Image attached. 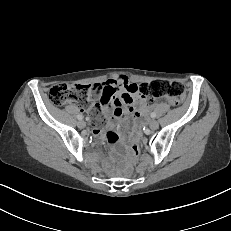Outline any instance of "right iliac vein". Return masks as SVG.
Here are the masks:
<instances>
[{
	"instance_id": "63e3f726",
	"label": "right iliac vein",
	"mask_w": 231,
	"mask_h": 231,
	"mask_svg": "<svg viewBox=\"0 0 231 231\" xmlns=\"http://www.w3.org/2000/svg\"><path fill=\"white\" fill-rule=\"evenodd\" d=\"M77 126L80 128V129H83L85 126H86V123L82 120H80L78 123H77Z\"/></svg>"
}]
</instances>
